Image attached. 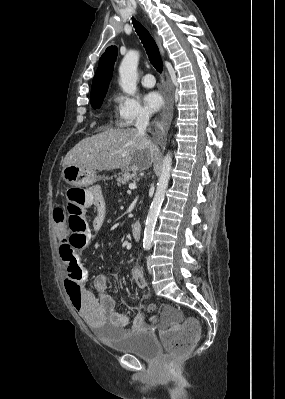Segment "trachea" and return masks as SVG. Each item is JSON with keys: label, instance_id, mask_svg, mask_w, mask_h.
Returning a JSON list of instances; mask_svg holds the SVG:
<instances>
[{"label": "trachea", "instance_id": "trachea-1", "mask_svg": "<svg viewBox=\"0 0 285 399\" xmlns=\"http://www.w3.org/2000/svg\"><path fill=\"white\" fill-rule=\"evenodd\" d=\"M132 22L135 27V31H136L137 35L139 36V38L147 52V55H148V58H149L151 64L154 66V68L159 73H161L163 70V62L160 57L159 49H158L154 39L152 38V36L148 32V30L145 27H143V25L141 23H139L135 19H133Z\"/></svg>", "mask_w": 285, "mask_h": 399}]
</instances>
